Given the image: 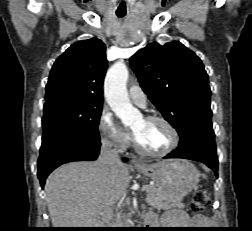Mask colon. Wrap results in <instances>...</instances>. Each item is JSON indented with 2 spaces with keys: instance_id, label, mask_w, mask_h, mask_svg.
Here are the masks:
<instances>
[{
  "instance_id": "colon-1",
  "label": "colon",
  "mask_w": 252,
  "mask_h": 231,
  "mask_svg": "<svg viewBox=\"0 0 252 231\" xmlns=\"http://www.w3.org/2000/svg\"><path fill=\"white\" fill-rule=\"evenodd\" d=\"M210 204V192L208 189H199L195 191L190 204L189 209L193 213L201 212L208 208Z\"/></svg>"
}]
</instances>
